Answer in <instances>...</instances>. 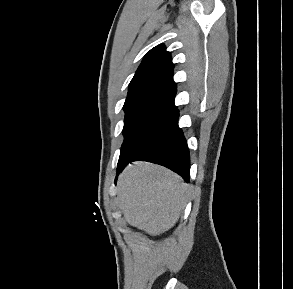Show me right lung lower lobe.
<instances>
[{
	"instance_id": "98d812e1",
	"label": "right lung lower lobe",
	"mask_w": 293,
	"mask_h": 289,
	"mask_svg": "<svg viewBox=\"0 0 293 289\" xmlns=\"http://www.w3.org/2000/svg\"><path fill=\"white\" fill-rule=\"evenodd\" d=\"M178 113L177 110L163 119L133 145L121 151L117 175L130 161L142 160L165 166L189 182L190 155L182 130L178 127Z\"/></svg>"
}]
</instances>
